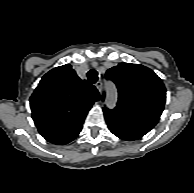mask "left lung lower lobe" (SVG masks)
<instances>
[{
    "instance_id": "left-lung-lower-lobe-1",
    "label": "left lung lower lobe",
    "mask_w": 194,
    "mask_h": 193,
    "mask_svg": "<svg viewBox=\"0 0 194 193\" xmlns=\"http://www.w3.org/2000/svg\"><path fill=\"white\" fill-rule=\"evenodd\" d=\"M104 117L110 131L123 140L140 139L152 129L146 125L116 116L109 111H104Z\"/></svg>"
}]
</instances>
